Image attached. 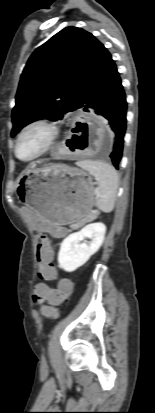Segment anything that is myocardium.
<instances>
[{
	"label": "myocardium",
	"instance_id": "myocardium-1",
	"mask_svg": "<svg viewBox=\"0 0 155 413\" xmlns=\"http://www.w3.org/2000/svg\"><path fill=\"white\" fill-rule=\"evenodd\" d=\"M35 126H42V127L46 128V129L48 130V132H49V137H48V140H47L45 146L43 147V149H42L40 152H38L36 155H34L33 157H31V158H29V159H24V158L20 157L19 154H18L19 142H20L22 136H23L29 129H31V128L35 127ZM57 135H58V130H57L56 126H55L52 122H50V121H48V120H46V119H35V120H32V121L28 122L27 124H25V125L21 128V130L19 131V133H18V135H17V138H16V140H15L14 154H15L16 158L19 159L20 161H23V162L33 161V160H35V159L43 156L46 152L49 151V149H50V148L52 147V145L54 144Z\"/></svg>",
	"mask_w": 155,
	"mask_h": 413
}]
</instances>
